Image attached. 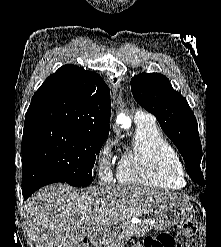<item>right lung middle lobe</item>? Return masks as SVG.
I'll return each mask as SVG.
<instances>
[{"instance_id": "dd1d6c3e", "label": "right lung middle lobe", "mask_w": 221, "mask_h": 247, "mask_svg": "<svg viewBox=\"0 0 221 247\" xmlns=\"http://www.w3.org/2000/svg\"><path fill=\"white\" fill-rule=\"evenodd\" d=\"M106 138L67 126L27 128L22 138V161L39 164L69 185L88 186Z\"/></svg>"}]
</instances>
